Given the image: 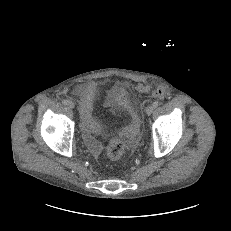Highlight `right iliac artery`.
<instances>
[{"label": "right iliac artery", "mask_w": 231, "mask_h": 231, "mask_svg": "<svg viewBox=\"0 0 231 231\" xmlns=\"http://www.w3.org/2000/svg\"><path fill=\"white\" fill-rule=\"evenodd\" d=\"M67 102H68V101H67L66 99H63V100H62V103H63L64 105H67Z\"/></svg>", "instance_id": "obj_1"}]
</instances>
